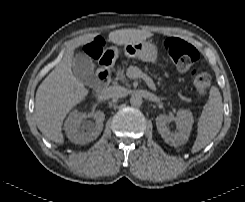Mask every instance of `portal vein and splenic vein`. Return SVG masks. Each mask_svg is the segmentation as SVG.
I'll use <instances>...</instances> for the list:
<instances>
[{"label": "portal vein and splenic vein", "mask_w": 245, "mask_h": 202, "mask_svg": "<svg viewBox=\"0 0 245 202\" xmlns=\"http://www.w3.org/2000/svg\"><path fill=\"white\" fill-rule=\"evenodd\" d=\"M127 75L131 79L143 78L147 82L149 87L152 90L156 91V86L154 82L152 81V79L149 78L147 75H145L138 67L136 66L129 67L127 70Z\"/></svg>", "instance_id": "portal-vein-and-splenic-vein-1"}]
</instances>
